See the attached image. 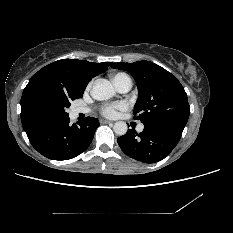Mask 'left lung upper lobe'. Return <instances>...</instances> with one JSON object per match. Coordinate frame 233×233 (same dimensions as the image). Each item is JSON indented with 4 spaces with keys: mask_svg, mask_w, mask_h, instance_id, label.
I'll list each match as a JSON object with an SVG mask.
<instances>
[{
    "mask_svg": "<svg viewBox=\"0 0 233 233\" xmlns=\"http://www.w3.org/2000/svg\"><path fill=\"white\" fill-rule=\"evenodd\" d=\"M114 69L128 71L136 80L139 98L135 119L166 129L183 131L190 114L187 94L178 79L150 61L111 63Z\"/></svg>",
    "mask_w": 233,
    "mask_h": 233,
    "instance_id": "obj_1",
    "label": "left lung upper lobe"
}]
</instances>
